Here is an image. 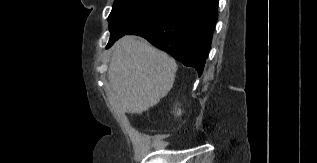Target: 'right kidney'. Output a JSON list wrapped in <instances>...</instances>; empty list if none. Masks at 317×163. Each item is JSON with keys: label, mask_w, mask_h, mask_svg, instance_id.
<instances>
[{"label": "right kidney", "mask_w": 317, "mask_h": 163, "mask_svg": "<svg viewBox=\"0 0 317 163\" xmlns=\"http://www.w3.org/2000/svg\"><path fill=\"white\" fill-rule=\"evenodd\" d=\"M182 111L181 109H178L177 111L175 110V116H181Z\"/></svg>", "instance_id": "obj_1"}]
</instances>
